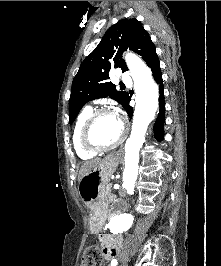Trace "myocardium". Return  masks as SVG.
<instances>
[{"mask_svg":"<svg viewBox=\"0 0 221 266\" xmlns=\"http://www.w3.org/2000/svg\"><path fill=\"white\" fill-rule=\"evenodd\" d=\"M113 112L107 108H99L90 113L88 118L85 120L84 125L81 131V142L85 149L91 152H105L119 146L126 138L128 134L127 125L124 122L122 123V132L118 139L110 144H98L92 140V129L97 118L103 114Z\"/></svg>","mask_w":221,"mask_h":266,"instance_id":"1","label":"myocardium"}]
</instances>
